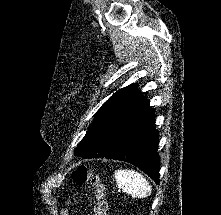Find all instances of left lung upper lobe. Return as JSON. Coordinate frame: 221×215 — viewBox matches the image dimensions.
I'll use <instances>...</instances> for the list:
<instances>
[{
	"instance_id": "obj_1",
	"label": "left lung upper lobe",
	"mask_w": 221,
	"mask_h": 215,
	"mask_svg": "<svg viewBox=\"0 0 221 215\" xmlns=\"http://www.w3.org/2000/svg\"><path fill=\"white\" fill-rule=\"evenodd\" d=\"M141 98L135 84L114 93L97 111L95 120L76 147L75 154L83 158L100 157L114 127Z\"/></svg>"
}]
</instances>
